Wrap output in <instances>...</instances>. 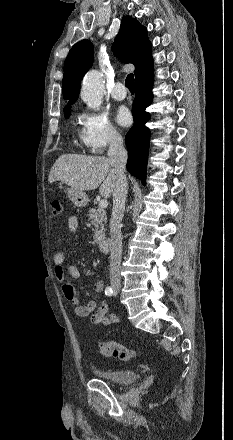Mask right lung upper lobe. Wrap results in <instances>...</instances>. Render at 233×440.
<instances>
[{"label":"right lung upper lobe","instance_id":"obj_1","mask_svg":"<svg viewBox=\"0 0 233 440\" xmlns=\"http://www.w3.org/2000/svg\"><path fill=\"white\" fill-rule=\"evenodd\" d=\"M93 44L81 40L70 50L64 63L63 97L69 99L64 110L79 96L80 80L93 63ZM113 51L124 62L135 65V81L152 71L151 43L145 27L130 16L122 19L121 27L113 44Z\"/></svg>","mask_w":233,"mask_h":440}]
</instances>
